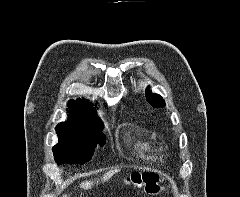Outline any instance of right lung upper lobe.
<instances>
[{
	"instance_id": "1",
	"label": "right lung upper lobe",
	"mask_w": 240,
	"mask_h": 197,
	"mask_svg": "<svg viewBox=\"0 0 240 197\" xmlns=\"http://www.w3.org/2000/svg\"><path fill=\"white\" fill-rule=\"evenodd\" d=\"M69 118L66 122L58 124V126L68 127H100L103 122L97 116L96 110L92 103L86 99H77L68 101Z\"/></svg>"
}]
</instances>
